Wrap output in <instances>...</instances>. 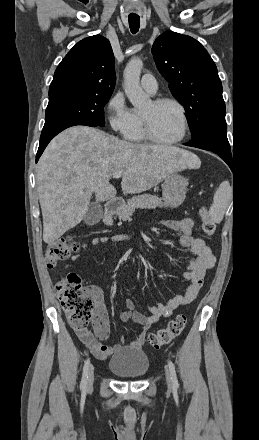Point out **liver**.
<instances>
[{
    "label": "liver",
    "mask_w": 259,
    "mask_h": 440,
    "mask_svg": "<svg viewBox=\"0 0 259 440\" xmlns=\"http://www.w3.org/2000/svg\"><path fill=\"white\" fill-rule=\"evenodd\" d=\"M193 153L170 145L135 144L88 126L57 135L41 156L36 186L43 217V240L52 245L87 213L92 194L97 202L113 200L109 183L122 171L125 194L147 191L168 174L199 168Z\"/></svg>",
    "instance_id": "obj_1"
}]
</instances>
